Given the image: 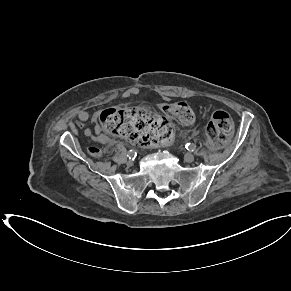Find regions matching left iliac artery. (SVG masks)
Masks as SVG:
<instances>
[{
	"instance_id": "1",
	"label": "left iliac artery",
	"mask_w": 291,
	"mask_h": 291,
	"mask_svg": "<svg viewBox=\"0 0 291 291\" xmlns=\"http://www.w3.org/2000/svg\"><path fill=\"white\" fill-rule=\"evenodd\" d=\"M186 149L189 150V151H194L196 146L194 144H191V143H187L185 145Z\"/></svg>"
}]
</instances>
